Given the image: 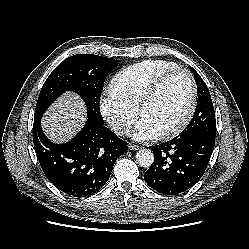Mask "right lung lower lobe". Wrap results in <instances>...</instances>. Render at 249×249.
<instances>
[{
    "mask_svg": "<svg viewBox=\"0 0 249 249\" xmlns=\"http://www.w3.org/2000/svg\"><path fill=\"white\" fill-rule=\"evenodd\" d=\"M33 143L47 179L65 194L75 197L98 192L109 179L115 160L127 151V142L93 120L65 144L52 143L34 120Z\"/></svg>",
    "mask_w": 249,
    "mask_h": 249,
    "instance_id": "98d812e1",
    "label": "right lung lower lobe"
}]
</instances>
